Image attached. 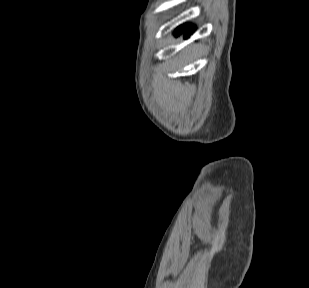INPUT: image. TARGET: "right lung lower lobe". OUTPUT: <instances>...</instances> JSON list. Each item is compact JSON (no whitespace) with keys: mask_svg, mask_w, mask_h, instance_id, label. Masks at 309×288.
<instances>
[{"mask_svg":"<svg viewBox=\"0 0 309 288\" xmlns=\"http://www.w3.org/2000/svg\"><path fill=\"white\" fill-rule=\"evenodd\" d=\"M194 30H195V26L185 24V25L179 26L175 30L174 34L178 36V34L184 33V38H186V37H189L194 32Z\"/></svg>","mask_w":309,"mask_h":288,"instance_id":"obj_1","label":"right lung lower lobe"}]
</instances>
